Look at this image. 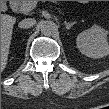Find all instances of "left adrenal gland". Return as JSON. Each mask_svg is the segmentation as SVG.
<instances>
[{
    "instance_id": "left-adrenal-gland-1",
    "label": "left adrenal gland",
    "mask_w": 109,
    "mask_h": 109,
    "mask_svg": "<svg viewBox=\"0 0 109 109\" xmlns=\"http://www.w3.org/2000/svg\"><path fill=\"white\" fill-rule=\"evenodd\" d=\"M76 23H77L76 21L71 22V23L65 21L64 25H65L66 29H70Z\"/></svg>"
}]
</instances>
